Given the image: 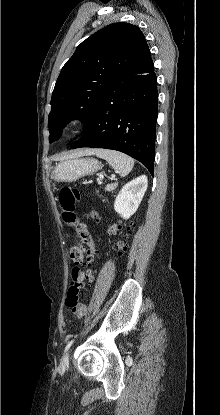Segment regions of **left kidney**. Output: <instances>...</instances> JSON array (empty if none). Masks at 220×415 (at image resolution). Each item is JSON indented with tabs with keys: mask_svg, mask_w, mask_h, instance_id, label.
I'll list each match as a JSON object with an SVG mask.
<instances>
[{
	"mask_svg": "<svg viewBox=\"0 0 220 415\" xmlns=\"http://www.w3.org/2000/svg\"><path fill=\"white\" fill-rule=\"evenodd\" d=\"M148 180L145 175L127 183L117 195L114 202L115 211L124 219H129L138 209L147 190Z\"/></svg>",
	"mask_w": 220,
	"mask_h": 415,
	"instance_id": "left-kidney-1",
	"label": "left kidney"
}]
</instances>
